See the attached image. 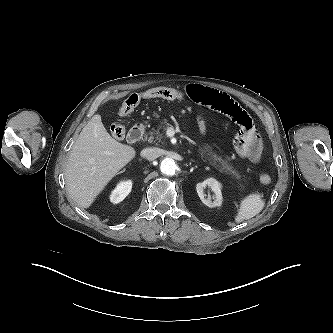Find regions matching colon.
<instances>
[{"label":"colon","instance_id":"obj_1","mask_svg":"<svg viewBox=\"0 0 333 333\" xmlns=\"http://www.w3.org/2000/svg\"><path fill=\"white\" fill-rule=\"evenodd\" d=\"M185 96H187V94L184 90H176L165 87H156L140 93H132L124 99L118 111V116L119 118H123L130 114L142 99L163 98L167 100H175L181 99ZM110 130L112 136L116 139H122L125 136V128L119 121L113 123ZM259 180L262 184L267 185L271 182V177L268 174H261Z\"/></svg>","mask_w":333,"mask_h":333}]
</instances>
